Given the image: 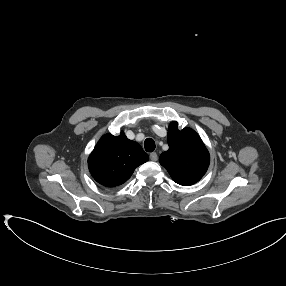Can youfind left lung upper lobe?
<instances>
[{"label": "left lung upper lobe", "instance_id": "1", "mask_svg": "<svg viewBox=\"0 0 286 286\" xmlns=\"http://www.w3.org/2000/svg\"><path fill=\"white\" fill-rule=\"evenodd\" d=\"M169 149L159 157L172 179L180 185L189 186L198 182L206 173L210 155L199 135L190 128L178 129L172 122L168 128Z\"/></svg>", "mask_w": 286, "mask_h": 286}]
</instances>
